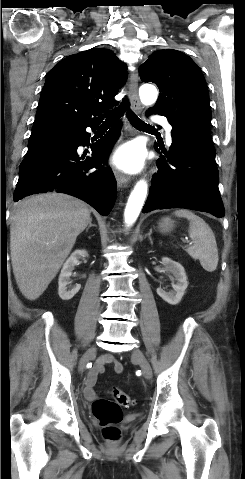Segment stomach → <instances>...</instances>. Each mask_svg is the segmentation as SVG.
<instances>
[{
	"label": "stomach",
	"instance_id": "stomach-1",
	"mask_svg": "<svg viewBox=\"0 0 245 479\" xmlns=\"http://www.w3.org/2000/svg\"><path fill=\"white\" fill-rule=\"evenodd\" d=\"M161 232H169L173 228V221L170 218H163L159 223Z\"/></svg>",
	"mask_w": 245,
	"mask_h": 479
}]
</instances>
